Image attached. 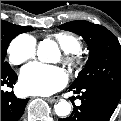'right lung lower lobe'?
I'll return each instance as SVG.
<instances>
[{
	"mask_svg": "<svg viewBox=\"0 0 121 121\" xmlns=\"http://www.w3.org/2000/svg\"><path fill=\"white\" fill-rule=\"evenodd\" d=\"M17 80L12 68H1V87H13ZM28 99H18L13 92L1 91V121H18L22 116Z\"/></svg>",
	"mask_w": 121,
	"mask_h": 121,
	"instance_id": "obj_1",
	"label": "right lung lower lobe"
}]
</instances>
